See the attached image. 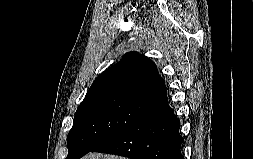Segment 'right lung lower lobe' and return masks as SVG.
<instances>
[{"label":"right lung lower lobe","mask_w":253,"mask_h":159,"mask_svg":"<svg viewBox=\"0 0 253 159\" xmlns=\"http://www.w3.org/2000/svg\"><path fill=\"white\" fill-rule=\"evenodd\" d=\"M180 121L168 101L146 113L131 126L98 144L92 152L131 159H184Z\"/></svg>","instance_id":"98d812e1"}]
</instances>
